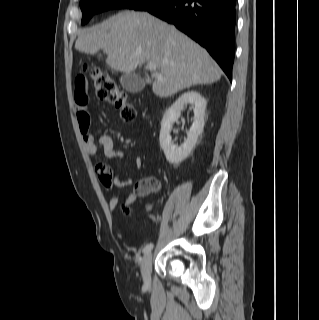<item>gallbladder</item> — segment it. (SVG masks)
Returning <instances> with one entry per match:
<instances>
[{"label": "gallbladder", "instance_id": "bac80fb5", "mask_svg": "<svg viewBox=\"0 0 319 320\" xmlns=\"http://www.w3.org/2000/svg\"><path fill=\"white\" fill-rule=\"evenodd\" d=\"M120 83L126 91L131 93L140 92L145 86L141 76L133 72L123 74L120 78Z\"/></svg>", "mask_w": 319, "mask_h": 320}]
</instances>
